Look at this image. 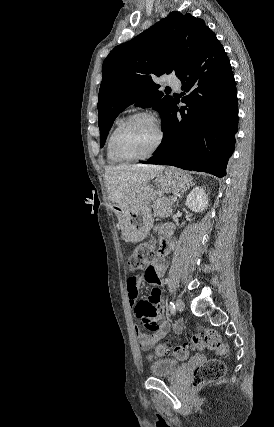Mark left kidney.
<instances>
[{"label":"left kidney","mask_w":274,"mask_h":427,"mask_svg":"<svg viewBox=\"0 0 274 427\" xmlns=\"http://www.w3.org/2000/svg\"><path fill=\"white\" fill-rule=\"evenodd\" d=\"M186 206L193 212H204L208 208V198L203 188H194L187 196Z\"/></svg>","instance_id":"1"}]
</instances>
